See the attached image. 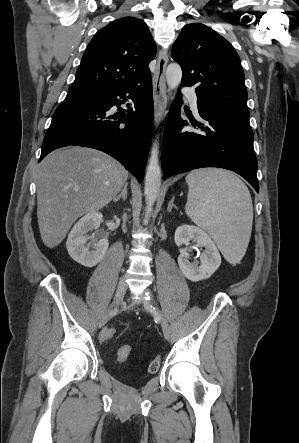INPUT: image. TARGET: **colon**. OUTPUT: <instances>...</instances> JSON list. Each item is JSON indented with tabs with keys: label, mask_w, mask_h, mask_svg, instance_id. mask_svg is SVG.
I'll return each mask as SVG.
<instances>
[{
	"label": "colon",
	"mask_w": 299,
	"mask_h": 443,
	"mask_svg": "<svg viewBox=\"0 0 299 443\" xmlns=\"http://www.w3.org/2000/svg\"><path fill=\"white\" fill-rule=\"evenodd\" d=\"M116 334L115 328H106L102 331L100 335V340L102 342H107L112 339ZM132 349L129 345L122 346L118 351V359L120 362H125L129 359ZM161 358L159 356L154 357L148 365V371L150 373H155L160 369Z\"/></svg>",
	"instance_id": "5ec220e1"
}]
</instances>
